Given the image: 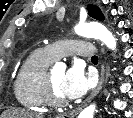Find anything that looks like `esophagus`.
Returning <instances> with one entry per match:
<instances>
[{
	"label": "esophagus",
	"instance_id": "obj_1",
	"mask_svg": "<svg viewBox=\"0 0 133 118\" xmlns=\"http://www.w3.org/2000/svg\"><path fill=\"white\" fill-rule=\"evenodd\" d=\"M104 74H105V67L104 64H101L99 82L96 88L92 91V93L87 97V99L81 105H79L77 108L73 110L62 113L60 115V118H74L99 93L104 82Z\"/></svg>",
	"mask_w": 133,
	"mask_h": 118
}]
</instances>
